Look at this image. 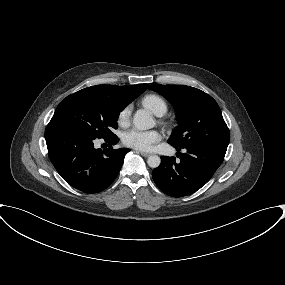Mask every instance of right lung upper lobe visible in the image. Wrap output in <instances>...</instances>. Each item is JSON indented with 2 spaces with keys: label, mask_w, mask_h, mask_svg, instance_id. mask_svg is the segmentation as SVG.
<instances>
[{
  "label": "right lung upper lobe",
  "mask_w": 285,
  "mask_h": 285,
  "mask_svg": "<svg viewBox=\"0 0 285 285\" xmlns=\"http://www.w3.org/2000/svg\"><path fill=\"white\" fill-rule=\"evenodd\" d=\"M148 86V84L130 86L96 85L82 89L78 92L105 96L127 106L132 100L143 93Z\"/></svg>",
  "instance_id": "1"
}]
</instances>
